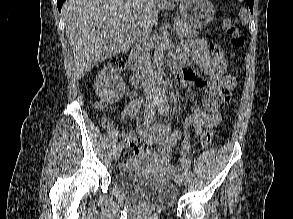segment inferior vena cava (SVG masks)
Masks as SVG:
<instances>
[{
    "mask_svg": "<svg viewBox=\"0 0 293 219\" xmlns=\"http://www.w3.org/2000/svg\"><path fill=\"white\" fill-rule=\"evenodd\" d=\"M137 2H141L138 0ZM135 75L142 78H147L151 74L152 64L150 59V47L148 44V35L144 30H138L135 39Z\"/></svg>",
    "mask_w": 293,
    "mask_h": 219,
    "instance_id": "obj_1",
    "label": "inferior vena cava"
}]
</instances>
